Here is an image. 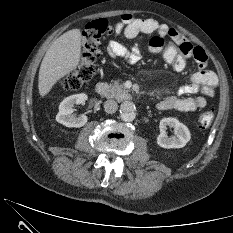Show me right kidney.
<instances>
[{
    "mask_svg": "<svg viewBox=\"0 0 233 233\" xmlns=\"http://www.w3.org/2000/svg\"><path fill=\"white\" fill-rule=\"evenodd\" d=\"M87 100V95L84 93L71 95L65 98L59 105V112L56 115V121L66 127H82L87 123V116L82 114L78 117L73 115L74 105L82 104Z\"/></svg>",
    "mask_w": 233,
    "mask_h": 233,
    "instance_id": "ca27d5eb",
    "label": "right kidney"
}]
</instances>
